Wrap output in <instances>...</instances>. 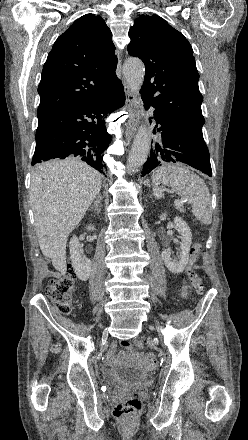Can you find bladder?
I'll use <instances>...</instances> for the list:
<instances>
[{
	"instance_id": "1",
	"label": "bladder",
	"mask_w": 248,
	"mask_h": 440,
	"mask_svg": "<svg viewBox=\"0 0 248 440\" xmlns=\"http://www.w3.org/2000/svg\"><path fill=\"white\" fill-rule=\"evenodd\" d=\"M103 376L113 383H130L132 381L147 383L149 381L148 374L130 368L104 369Z\"/></svg>"
}]
</instances>
